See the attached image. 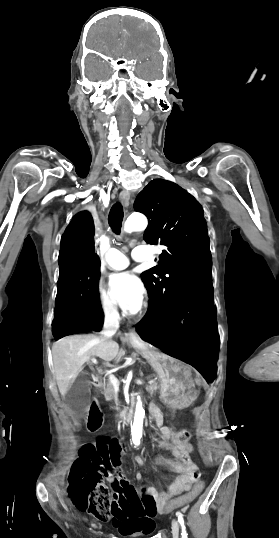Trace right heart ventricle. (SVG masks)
I'll return each instance as SVG.
<instances>
[{"label": "right heart ventricle", "mask_w": 279, "mask_h": 538, "mask_svg": "<svg viewBox=\"0 0 279 538\" xmlns=\"http://www.w3.org/2000/svg\"><path fill=\"white\" fill-rule=\"evenodd\" d=\"M129 231H130V217L126 215L123 219V222L120 228V233L125 234Z\"/></svg>", "instance_id": "right-heart-ventricle-1"}]
</instances>
